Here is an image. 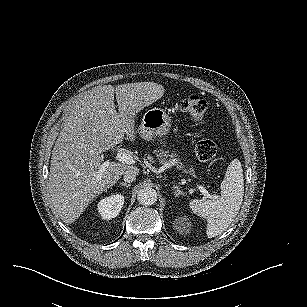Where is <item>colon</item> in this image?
Masks as SVG:
<instances>
[{"label":"colon","mask_w":307,"mask_h":307,"mask_svg":"<svg viewBox=\"0 0 307 307\" xmlns=\"http://www.w3.org/2000/svg\"><path fill=\"white\" fill-rule=\"evenodd\" d=\"M180 110L188 114L192 119L200 121L206 115L207 102L197 95H190L181 101ZM216 151V144L209 139H202L195 146V155L202 162L212 160L216 155Z\"/></svg>","instance_id":"1"}]
</instances>
